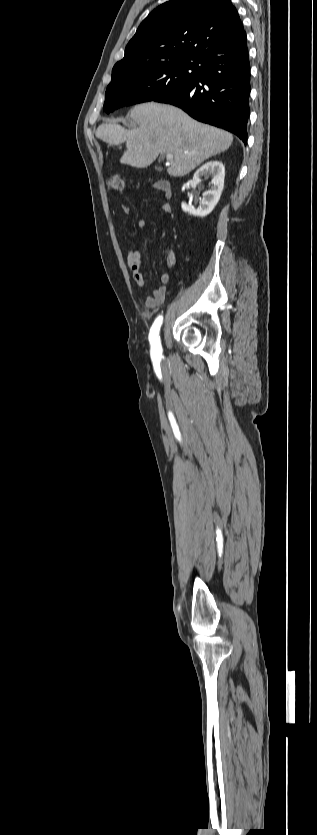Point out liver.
Here are the masks:
<instances>
[{"instance_id":"obj_1","label":"liver","mask_w":317,"mask_h":835,"mask_svg":"<svg viewBox=\"0 0 317 835\" xmlns=\"http://www.w3.org/2000/svg\"><path fill=\"white\" fill-rule=\"evenodd\" d=\"M130 118L136 128L103 123L96 137L109 145L126 142L120 163L137 168L149 166L161 153L172 154L167 172L174 177L188 174L204 160L227 150L233 141L229 132L197 122L171 105L143 103L131 109Z\"/></svg>"}]
</instances>
